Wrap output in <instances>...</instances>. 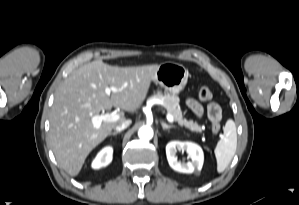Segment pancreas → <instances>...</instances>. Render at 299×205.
<instances>
[{
	"label": "pancreas",
	"instance_id": "pancreas-1",
	"mask_svg": "<svg viewBox=\"0 0 299 205\" xmlns=\"http://www.w3.org/2000/svg\"><path fill=\"white\" fill-rule=\"evenodd\" d=\"M151 99H158L161 100L164 104V108L167 112L173 116L174 120L180 125L188 128L194 132H201L202 128L198 125L197 122L193 120H187L183 117L182 111L179 105V97L173 94H162L157 93L153 95Z\"/></svg>",
	"mask_w": 299,
	"mask_h": 205
}]
</instances>
